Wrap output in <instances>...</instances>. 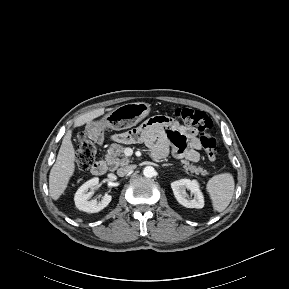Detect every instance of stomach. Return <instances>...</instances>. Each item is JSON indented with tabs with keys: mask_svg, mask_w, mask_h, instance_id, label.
I'll return each instance as SVG.
<instances>
[{
	"mask_svg": "<svg viewBox=\"0 0 289 289\" xmlns=\"http://www.w3.org/2000/svg\"><path fill=\"white\" fill-rule=\"evenodd\" d=\"M150 113V104L145 102L128 103L117 107L99 121L87 125L91 137H96L104 129L123 130L137 125Z\"/></svg>",
	"mask_w": 289,
	"mask_h": 289,
	"instance_id": "obj_1",
	"label": "stomach"
}]
</instances>
